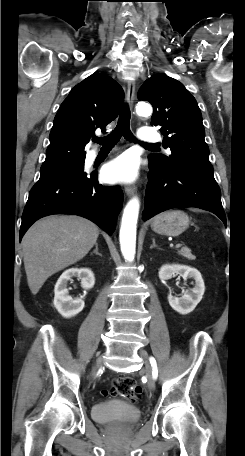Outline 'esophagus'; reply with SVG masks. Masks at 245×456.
<instances>
[{"instance_id":"1","label":"esophagus","mask_w":245,"mask_h":456,"mask_svg":"<svg viewBox=\"0 0 245 456\" xmlns=\"http://www.w3.org/2000/svg\"><path fill=\"white\" fill-rule=\"evenodd\" d=\"M134 97H135V82L134 81H129L127 85V93H126V100L127 103L130 107H132L133 102H134ZM136 192V186L135 185H126L125 186V193L128 196L133 195Z\"/></svg>"}]
</instances>
